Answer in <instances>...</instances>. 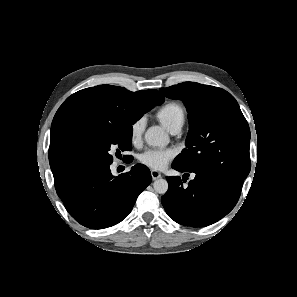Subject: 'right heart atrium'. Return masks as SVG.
I'll use <instances>...</instances> for the list:
<instances>
[{
    "mask_svg": "<svg viewBox=\"0 0 297 297\" xmlns=\"http://www.w3.org/2000/svg\"><path fill=\"white\" fill-rule=\"evenodd\" d=\"M146 127L144 117L137 118L130 126V138L133 144L141 142Z\"/></svg>",
    "mask_w": 297,
    "mask_h": 297,
    "instance_id": "obj_1",
    "label": "right heart atrium"
}]
</instances>
